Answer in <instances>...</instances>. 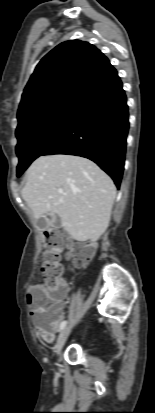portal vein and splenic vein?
Here are the masks:
<instances>
[{"label": "portal vein and splenic vein", "instance_id": "18ae733b", "mask_svg": "<svg viewBox=\"0 0 155 413\" xmlns=\"http://www.w3.org/2000/svg\"><path fill=\"white\" fill-rule=\"evenodd\" d=\"M58 192H59L60 194H63V190H59Z\"/></svg>", "mask_w": 155, "mask_h": 413}]
</instances>
